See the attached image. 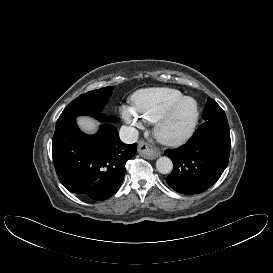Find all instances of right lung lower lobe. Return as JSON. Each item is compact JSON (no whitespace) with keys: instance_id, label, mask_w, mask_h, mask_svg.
<instances>
[{"instance_id":"right-lung-lower-lobe-1","label":"right lung lower lobe","mask_w":273,"mask_h":273,"mask_svg":"<svg viewBox=\"0 0 273 273\" xmlns=\"http://www.w3.org/2000/svg\"><path fill=\"white\" fill-rule=\"evenodd\" d=\"M137 150V143L124 144L117 129L108 123L95 135H86L72 119L56 125L52 155L60 182L70 192L102 201L120 188L125 163Z\"/></svg>"}]
</instances>
